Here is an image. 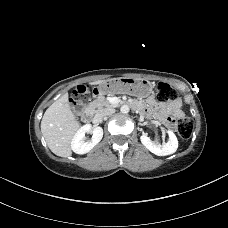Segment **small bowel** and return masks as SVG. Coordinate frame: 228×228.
<instances>
[{"label": "small bowel", "instance_id": "small-bowel-1", "mask_svg": "<svg viewBox=\"0 0 228 228\" xmlns=\"http://www.w3.org/2000/svg\"><path fill=\"white\" fill-rule=\"evenodd\" d=\"M149 103L151 104H156V109L158 111V117L164 122V123H170L172 120L170 115L173 117H180L182 116V111L180 109L181 107V101L180 100H175L171 102L168 105H162L156 103V100L154 96H151L148 99ZM131 105L139 110H142L144 113H149V109L146 107H143L141 103L138 100H132Z\"/></svg>", "mask_w": 228, "mask_h": 228}]
</instances>
